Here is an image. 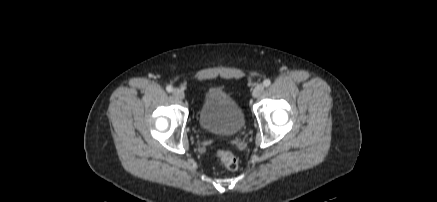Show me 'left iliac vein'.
Instances as JSON below:
<instances>
[{
	"instance_id": "left-iliac-vein-1",
	"label": "left iliac vein",
	"mask_w": 437,
	"mask_h": 202,
	"mask_svg": "<svg viewBox=\"0 0 437 202\" xmlns=\"http://www.w3.org/2000/svg\"><path fill=\"white\" fill-rule=\"evenodd\" d=\"M263 90H264L263 84H257L253 89L252 96L254 98L259 97L262 94Z\"/></svg>"
}]
</instances>
